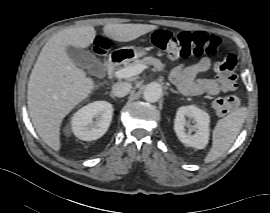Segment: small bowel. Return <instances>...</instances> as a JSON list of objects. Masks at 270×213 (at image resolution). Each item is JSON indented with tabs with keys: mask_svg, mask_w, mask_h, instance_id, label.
Masks as SVG:
<instances>
[{
	"mask_svg": "<svg viewBox=\"0 0 270 213\" xmlns=\"http://www.w3.org/2000/svg\"><path fill=\"white\" fill-rule=\"evenodd\" d=\"M211 67V60L203 57L197 63L186 66L180 64L172 69L171 79L179 90L187 96L201 94L215 95L220 91L218 82L213 78H197L198 74Z\"/></svg>",
	"mask_w": 270,
	"mask_h": 213,
	"instance_id": "1",
	"label": "small bowel"
}]
</instances>
